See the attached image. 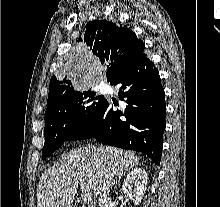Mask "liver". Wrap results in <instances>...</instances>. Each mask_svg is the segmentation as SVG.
<instances>
[{
	"mask_svg": "<svg viewBox=\"0 0 220 207\" xmlns=\"http://www.w3.org/2000/svg\"><path fill=\"white\" fill-rule=\"evenodd\" d=\"M138 163L134 153L111 146L88 144L72 150L40 177L37 207H73L79 183L82 194L97 196L104 178H122Z\"/></svg>",
	"mask_w": 220,
	"mask_h": 207,
	"instance_id": "liver-1",
	"label": "liver"
}]
</instances>
